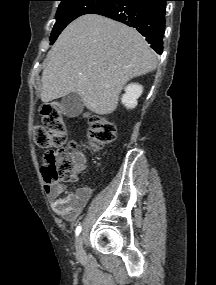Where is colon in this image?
Wrapping results in <instances>:
<instances>
[{
	"instance_id": "obj_1",
	"label": "colon",
	"mask_w": 216,
	"mask_h": 285,
	"mask_svg": "<svg viewBox=\"0 0 216 285\" xmlns=\"http://www.w3.org/2000/svg\"><path fill=\"white\" fill-rule=\"evenodd\" d=\"M42 122L34 127L35 143L43 148H54L45 155L43 175L46 183L70 181L76 177L74 144H67L66 129L60 106L47 103L41 108ZM88 137L93 149H102L116 138L115 126L106 118L92 115L88 120Z\"/></svg>"
}]
</instances>
